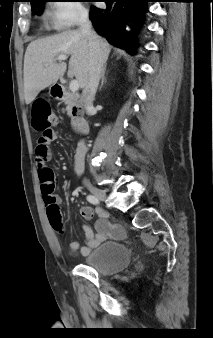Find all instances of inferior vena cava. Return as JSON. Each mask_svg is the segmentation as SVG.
I'll return each mask as SVG.
<instances>
[{
	"mask_svg": "<svg viewBox=\"0 0 213 338\" xmlns=\"http://www.w3.org/2000/svg\"><path fill=\"white\" fill-rule=\"evenodd\" d=\"M79 26L81 34L88 39L90 50L89 78L82 92V101L84 103V107L85 109H89L93 104L107 55L102 49L99 37L91 28V23L89 21L87 12L82 13Z\"/></svg>",
	"mask_w": 213,
	"mask_h": 338,
	"instance_id": "inferior-vena-cava-1",
	"label": "inferior vena cava"
}]
</instances>
